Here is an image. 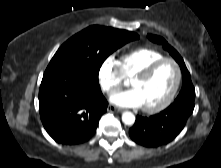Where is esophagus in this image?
Here are the masks:
<instances>
[{
    "label": "esophagus",
    "mask_w": 221,
    "mask_h": 168,
    "mask_svg": "<svg viewBox=\"0 0 221 168\" xmlns=\"http://www.w3.org/2000/svg\"><path fill=\"white\" fill-rule=\"evenodd\" d=\"M108 111H110V112H122V109L117 108V107H115V106H113V105H110V106L108 107Z\"/></svg>",
    "instance_id": "34e87169"
}]
</instances>
